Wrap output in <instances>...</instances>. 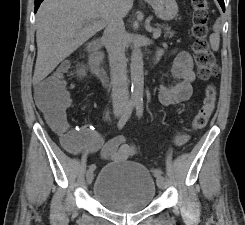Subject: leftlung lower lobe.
Masks as SVG:
<instances>
[{"label":"left lung lower lobe","instance_id":"1","mask_svg":"<svg viewBox=\"0 0 245 225\" xmlns=\"http://www.w3.org/2000/svg\"><path fill=\"white\" fill-rule=\"evenodd\" d=\"M219 2V4L221 5L223 11H225V4H224V0H217Z\"/></svg>","mask_w":245,"mask_h":225}]
</instances>
